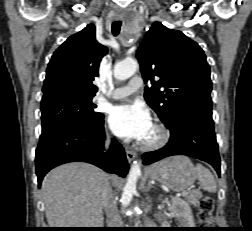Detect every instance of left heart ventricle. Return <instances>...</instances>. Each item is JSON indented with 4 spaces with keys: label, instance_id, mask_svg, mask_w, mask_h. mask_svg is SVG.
Masks as SVG:
<instances>
[{
    "label": "left heart ventricle",
    "instance_id": "1",
    "mask_svg": "<svg viewBox=\"0 0 252 231\" xmlns=\"http://www.w3.org/2000/svg\"><path fill=\"white\" fill-rule=\"evenodd\" d=\"M157 136H158L157 131L155 130L154 127H152V129L150 130L144 141H153L157 138Z\"/></svg>",
    "mask_w": 252,
    "mask_h": 231
}]
</instances>
